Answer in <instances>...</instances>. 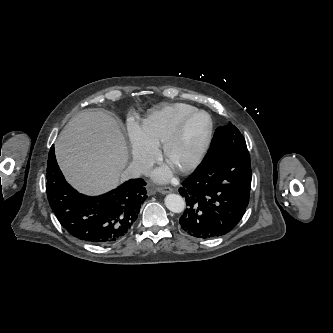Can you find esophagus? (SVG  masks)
Returning a JSON list of instances; mask_svg holds the SVG:
<instances>
[{
	"instance_id": "esophagus-1",
	"label": "esophagus",
	"mask_w": 333,
	"mask_h": 333,
	"mask_svg": "<svg viewBox=\"0 0 333 333\" xmlns=\"http://www.w3.org/2000/svg\"><path fill=\"white\" fill-rule=\"evenodd\" d=\"M157 191L162 193V194H166V193L172 192L173 189L170 188V187H167V186H163V187H158Z\"/></svg>"
}]
</instances>
